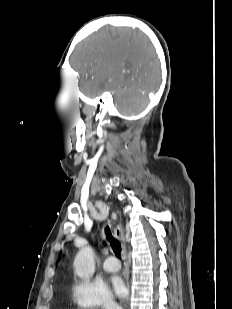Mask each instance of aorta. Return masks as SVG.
I'll return each mask as SVG.
<instances>
[{"label": "aorta", "instance_id": "obj_1", "mask_svg": "<svg viewBox=\"0 0 232 309\" xmlns=\"http://www.w3.org/2000/svg\"><path fill=\"white\" fill-rule=\"evenodd\" d=\"M75 272L80 278H89L95 271L94 251L91 247L82 248L74 261Z\"/></svg>", "mask_w": 232, "mask_h": 309}]
</instances>
